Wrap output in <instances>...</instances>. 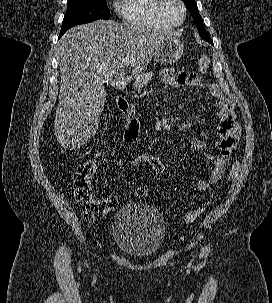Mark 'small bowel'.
<instances>
[{
  "mask_svg": "<svg viewBox=\"0 0 272 303\" xmlns=\"http://www.w3.org/2000/svg\"><path fill=\"white\" fill-rule=\"evenodd\" d=\"M162 80L167 85L189 86L192 88L203 87V82L195 73L166 69L162 72ZM207 96L216 99L219 124L217 128L218 139L215 142L217 153L210 154L208 142L203 139H194L190 142V148L193 152H201L208 160L213 161V167L208 179H200L196 183L199 191H205L210 186L216 185L224 176L226 165L230 156L236 147L240 138V127L236 120L231 101L223 94L217 84L207 85ZM136 133L127 135L124 139L131 142L136 138Z\"/></svg>",
  "mask_w": 272,
  "mask_h": 303,
  "instance_id": "small-bowel-1",
  "label": "small bowel"
}]
</instances>
